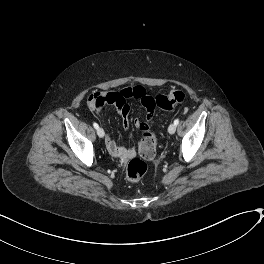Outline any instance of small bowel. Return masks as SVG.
<instances>
[{"instance_id": "small-bowel-1", "label": "small bowel", "mask_w": 264, "mask_h": 264, "mask_svg": "<svg viewBox=\"0 0 264 264\" xmlns=\"http://www.w3.org/2000/svg\"><path fill=\"white\" fill-rule=\"evenodd\" d=\"M140 95H146V90L141 86H127L123 89L109 90L104 92H97L91 95L87 104L92 108L98 117H101L108 106H114L117 108L119 115L122 117V127L125 131L129 130L130 119H129V106L126 103V99ZM154 111V110H153ZM153 111H149L148 119H150ZM139 120L136 118L135 123ZM105 145L109 153L121 159H126L134 155V149H126L114 140L108 132L105 130Z\"/></svg>"}]
</instances>
